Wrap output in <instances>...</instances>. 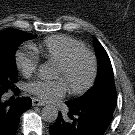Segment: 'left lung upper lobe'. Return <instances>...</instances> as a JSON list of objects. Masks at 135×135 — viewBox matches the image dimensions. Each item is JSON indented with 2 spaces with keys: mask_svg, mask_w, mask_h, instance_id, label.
<instances>
[{
  "mask_svg": "<svg viewBox=\"0 0 135 135\" xmlns=\"http://www.w3.org/2000/svg\"><path fill=\"white\" fill-rule=\"evenodd\" d=\"M94 44L98 58V75L95 84L83 96L67 102L74 106L97 103H112L116 106V89L110 59L96 38Z\"/></svg>",
  "mask_w": 135,
  "mask_h": 135,
  "instance_id": "1",
  "label": "left lung upper lobe"
}]
</instances>
